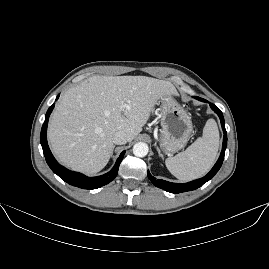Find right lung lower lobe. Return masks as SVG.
I'll use <instances>...</instances> for the list:
<instances>
[{"instance_id": "right-lung-lower-lobe-1", "label": "right lung lower lobe", "mask_w": 269, "mask_h": 269, "mask_svg": "<svg viewBox=\"0 0 269 269\" xmlns=\"http://www.w3.org/2000/svg\"><path fill=\"white\" fill-rule=\"evenodd\" d=\"M58 98H59V95L57 96L56 100ZM53 108H54V105L49 107L46 113L45 121L43 123L42 129H41V135H40V142L42 145L43 153H44L46 162L49 165V167L52 169V171L55 174H57L60 178H62L65 182H67L68 184L82 188V189H96L111 182L117 176L118 168L123 159L125 151H123L120 154L111 172H108L104 175L97 176V177H86L85 175L81 173L70 171L64 168L63 166H61L55 160L47 144V125H48L49 116Z\"/></svg>"}]
</instances>
